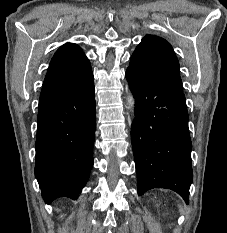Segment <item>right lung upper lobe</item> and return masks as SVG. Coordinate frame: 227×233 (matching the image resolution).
<instances>
[{"label":"right lung upper lobe","mask_w":227,"mask_h":233,"mask_svg":"<svg viewBox=\"0 0 227 233\" xmlns=\"http://www.w3.org/2000/svg\"><path fill=\"white\" fill-rule=\"evenodd\" d=\"M92 80L90 62L81 48L74 43L64 44L56 51L50 62L38 110L57 103Z\"/></svg>","instance_id":"obj_1"}]
</instances>
